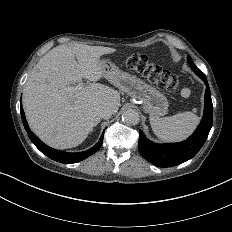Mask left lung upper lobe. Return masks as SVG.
I'll return each instance as SVG.
<instances>
[{
    "instance_id": "5c2ea615",
    "label": "left lung upper lobe",
    "mask_w": 232,
    "mask_h": 232,
    "mask_svg": "<svg viewBox=\"0 0 232 232\" xmlns=\"http://www.w3.org/2000/svg\"><path fill=\"white\" fill-rule=\"evenodd\" d=\"M187 61L191 67V69L198 75V76H202L205 75L201 70H199L196 65L194 64L193 60L191 59L190 56H187Z\"/></svg>"
}]
</instances>
